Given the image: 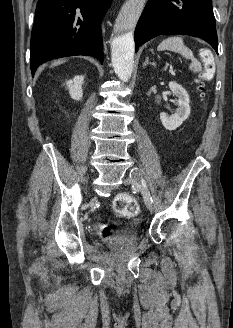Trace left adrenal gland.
Returning a JSON list of instances; mask_svg holds the SVG:
<instances>
[{
    "instance_id": "left-adrenal-gland-1",
    "label": "left adrenal gland",
    "mask_w": 233,
    "mask_h": 328,
    "mask_svg": "<svg viewBox=\"0 0 233 328\" xmlns=\"http://www.w3.org/2000/svg\"><path fill=\"white\" fill-rule=\"evenodd\" d=\"M147 65H152L154 67H156V64L153 62H149V58L147 57L145 62L143 63V68H145Z\"/></svg>"
}]
</instances>
